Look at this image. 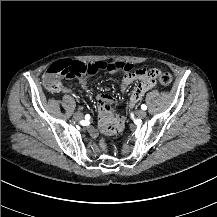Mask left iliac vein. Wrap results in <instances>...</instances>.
I'll use <instances>...</instances> for the list:
<instances>
[{
    "mask_svg": "<svg viewBox=\"0 0 217 217\" xmlns=\"http://www.w3.org/2000/svg\"><path fill=\"white\" fill-rule=\"evenodd\" d=\"M146 112L144 110H139L136 112V117L139 119H144L146 117Z\"/></svg>",
    "mask_w": 217,
    "mask_h": 217,
    "instance_id": "left-iliac-vein-1",
    "label": "left iliac vein"
}]
</instances>
